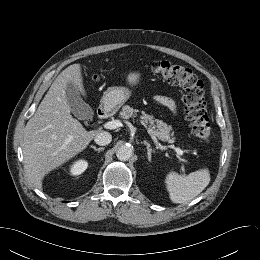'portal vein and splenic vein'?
I'll use <instances>...</instances> for the list:
<instances>
[{
	"label": "portal vein and splenic vein",
	"instance_id": "18ae733b",
	"mask_svg": "<svg viewBox=\"0 0 260 260\" xmlns=\"http://www.w3.org/2000/svg\"><path fill=\"white\" fill-rule=\"evenodd\" d=\"M122 126V122L120 120H112V121H109V122H106L104 124V127L106 129H116L118 127H121ZM150 133V131H148ZM172 148L174 149V151L177 153V157L179 158L180 161H184L181 156L183 155V151L180 149V148H177V147H174L172 146ZM181 170L183 172V175L185 176V170L183 167H181Z\"/></svg>",
	"mask_w": 260,
	"mask_h": 260
}]
</instances>
